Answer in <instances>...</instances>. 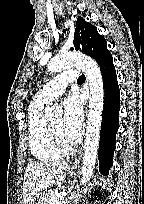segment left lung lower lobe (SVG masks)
<instances>
[{"instance_id":"left-lung-lower-lobe-1","label":"left lung lower lobe","mask_w":144,"mask_h":204,"mask_svg":"<svg viewBox=\"0 0 144 204\" xmlns=\"http://www.w3.org/2000/svg\"><path fill=\"white\" fill-rule=\"evenodd\" d=\"M99 66L103 76L105 98L98 157L100 172L108 175V170L113 162L116 133L119 126L120 90L113 58L107 57L99 63Z\"/></svg>"}]
</instances>
